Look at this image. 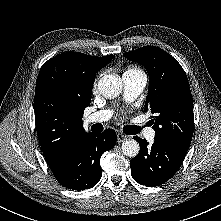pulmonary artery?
Segmentation results:
<instances>
[{"instance_id": "pulmonary-artery-1", "label": "pulmonary artery", "mask_w": 221, "mask_h": 221, "mask_svg": "<svg viewBox=\"0 0 221 221\" xmlns=\"http://www.w3.org/2000/svg\"><path fill=\"white\" fill-rule=\"evenodd\" d=\"M122 80L124 83V97L127 101H132L137 98L143 91L146 85V75L144 73H127L122 75ZM112 116L110 110H100L91 115H89L85 123L87 125L93 123L105 122ZM147 140L152 141L155 137V131L153 129H147L144 133Z\"/></svg>"}]
</instances>
